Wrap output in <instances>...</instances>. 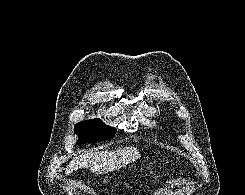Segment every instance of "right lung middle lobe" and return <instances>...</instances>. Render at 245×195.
<instances>
[{"mask_svg":"<svg viewBox=\"0 0 245 195\" xmlns=\"http://www.w3.org/2000/svg\"><path fill=\"white\" fill-rule=\"evenodd\" d=\"M74 131L79 137L77 144H83L107 140L113 137L117 130L99 119H92L77 123Z\"/></svg>","mask_w":245,"mask_h":195,"instance_id":"obj_1","label":"right lung middle lobe"}]
</instances>
